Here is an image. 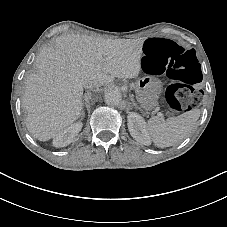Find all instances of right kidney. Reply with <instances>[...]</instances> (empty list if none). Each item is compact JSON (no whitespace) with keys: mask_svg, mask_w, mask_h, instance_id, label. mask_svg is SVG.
Masks as SVG:
<instances>
[{"mask_svg":"<svg viewBox=\"0 0 227 227\" xmlns=\"http://www.w3.org/2000/svg\"><path fill=\"white\" fill-rule=\"evenodd\" d=\"M81 129H82L81 122L71 124L68 128L62 130L53 138L52 142L53 146L56 148L68 146L70 143L74 141V138L78 135Z\"/></svg>","mask_w":227,"mask_h":227,"instance_id":"obj_1","label":"right kidney"}]
</instances>
